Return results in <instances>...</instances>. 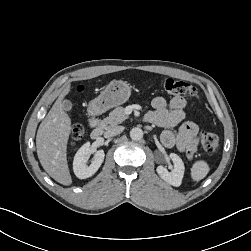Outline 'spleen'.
I'll use <instances>...</instances> for the list:
<instances>
[{
	"mask_svg": "<svg viewBox=\"0 0 251 251\" xmlns=\"http://www.w3.org/2000/svg\"><path fill=\"white\" fill-rule=\"evenodd\" d=\"M209 172V166L204 161H197L191 168V177L194 181H200L206 177Z\"/></svg>",
	"mask_w": 251,
	"mask_h": 251,
	"instance_id": "obj_1",
	"label": "spleen"
}]
</instances>
